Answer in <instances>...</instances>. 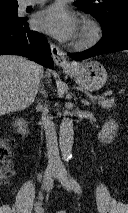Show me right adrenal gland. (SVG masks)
<instances>
[{
  "label": "right adrenal gland",
  "mask_w": 128,
  "mask_h": 213,
  "mask_svg": "<svg viewBox=\"0 0 128 213\" xmlns=\"http://www.w3.org/2000/svg\"><path fill=\"white\" fill-rule=\"evenodd\" d=\"M39 92H40L41 95H43L44 98L47 97L46 91H45V89H44L42 86H40ZM41 101H42V100H37V103L40 104Z\"/></svg>",
  "instance_id": "right-adrenal-gland-1"
}]
</instances>
